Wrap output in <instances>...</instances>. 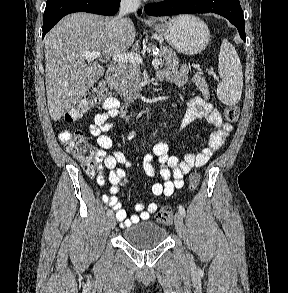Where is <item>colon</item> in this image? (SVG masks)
Returning <instances> with one entry per match:
<instances>
[{
    "label": "colon",
    "mask_w": 288,
    "mask_h": 293,
    "mask_svg": "<svg viewBox=\"0 0 288 293\" xmlns=\"http://www.w3.org/2000/svg\"><path fill=\"white\" fill-rule=\"evenodd\" d=\"M110 97V91L101 81L97 83L90 91L71 108L64 116L65 121L75 122L84 118L88 113L102 105ZM225 118L230 123L237 122L239 118V109L236 106H228L224 111ZM59 141L65 150L72 155L81 165L83 170L90 176H94L97 170L96 151L89 144L85 134L80 130H64L59 134ZM200 183V174L194 171L188 179L190 190L197 189ZM173 208L164 207L156 214V220L159 224L167 225L172 222Z\"/></svg>",
    "instance_id": "5ec220e1"
}]
</instances>
